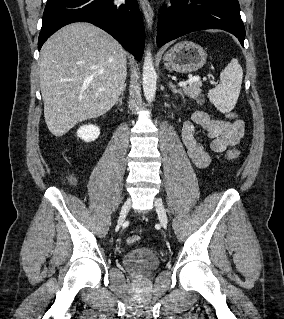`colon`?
<instances>
[{"instance_id": "5ec220e1", "label": "colon", "mask_w": 284, "mask_h": 319, "mask_svg": "<svg viewBox=\"0 0 284 319\" xmlns=\"http://www.w3.org/2000/svg\"><path fill=\"white\" fill-rule=\"evenodd\" d=\"M227 117L230 119V120H235L237 118V114L234 113V112H229L227 114ZM239 156V152L236 151V150H231L229 151L227 154H226V158L228 160H235L237 159ZM140 236L139 235H132L130 237L127 238V244L128 245H134V244H137L139 241H140Z\"/></svg>"}]
</instances>
